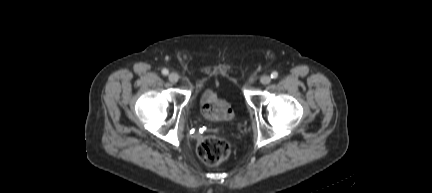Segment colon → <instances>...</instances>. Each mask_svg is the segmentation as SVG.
Returning a JSON list of instances; mask_svg holds the SVG:
<instances>
[{
	"instance_id": "5ec220e1",
	"label": "colon",
	"mask_w": 432,
	"mask_h": 193,
	"mask_svg": "<svg viewBox=\"0 0 432 193\" xmlns=\"http://www.w3.org/2000/svg\"><path fill=\"white\" fill-rule=\"evenodd\" d=\"M231 153V144L221 138L205 137L197 147L198 157L208 165H218Z\"/></svg>"
}]
</instances>
